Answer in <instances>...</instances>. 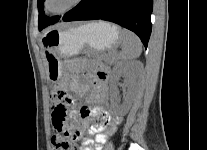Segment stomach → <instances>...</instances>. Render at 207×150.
Listing matches in <instances>:
<instances>
[{
    "label": "stomach",
    "instance_id": "obj_1",
    "mask_svg": "<svg viewBox=\"0 0 207 150\" xmlns=\"http://www.w3.org/2000/svg\"><path fill=\"white\" fill-rule=\"evenodd\" d=\"M121 38L119 28L105 21L87 24H64L47 30L41 38V46L48 65L51 81L58 85L63 79V59H70L87 48L90 54L110 52Z\"/></svg>",
    "mask_w": 207,
    "mask_h": 150
}]
</instances>
